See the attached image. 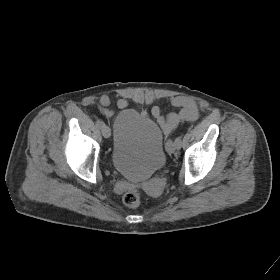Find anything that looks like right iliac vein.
I'll return each mask as SVG.
<instances>
[{
  "label": "right iliac vein",
  "mask_w": 280,
  "mask_h": 280,
  "mask_svg": "<svg viewBox=\"0 0 280 280\" xmlns=\"http://www.w3.org/2000/svg\"><path fill=\"white\" fill-rule=\"evenodd\" d=\"M101 132H102V135L105 137V138H109L110 135H111V131H110V128L106 125H104L103 127H101Z\"/></svg>",
  "instance_id": "right-iliac-vein-1"
}]
</instances>
